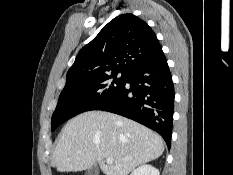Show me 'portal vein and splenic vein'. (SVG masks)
Returning a JSON list of instances; mask_svg holds the SVG:
<instances>
[{
  "label": "portal vein and splenic vein",
  "instance_id": "1",
  "mask_svg": "<svg viewBox=\"0 0 233 175\" xmlns=\"http://www.w3.org/2000/svg\"><path fill=\"white\" fill-rule=\"evenodd\" d=\"M106 163L107 164H112V163H114V159L113 158H107Z\"/></svg>",
  "mask_w": 233,
  "mask_h": 175
}]
</instances>
